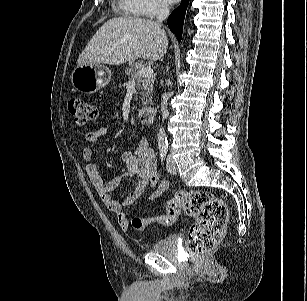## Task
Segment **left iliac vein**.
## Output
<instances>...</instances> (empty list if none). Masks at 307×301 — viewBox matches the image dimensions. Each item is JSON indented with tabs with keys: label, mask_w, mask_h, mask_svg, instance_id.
I'll list each match as a JSON object with an SVG mask.
<instances>
[{
	"label": "left iliac vein",
	"mask_w": 307,
	"mask_h": 301,
	"mask_svg": "<svg viewBox=\"0 0 307 301\" xmlns=\"http://www.w3.org/2000/svg\"><path fill=\"white\" fill-rule=\"evenodd\" d=\"M167 171L171 174H175L177 172V166L171 155L167 158Z\"/></svg>",
	"instance_id": "obj_1"
}]
</instances>
